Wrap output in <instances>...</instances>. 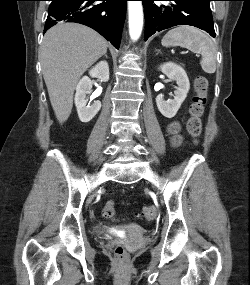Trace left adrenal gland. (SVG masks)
Returning a JSON list of instances; mask_svg holds the SVG:
<instances>
[{
  "label": "left adrenal gland",
  "mask_w": 250,
  "mask_h": 285,
  "mask_svg": "<svg viewBox=\"0 0 250 285\" xmlns=\"http://www.w3.org/2000/svg\"><path fill=\"white\" fill-rule=\"evenodd\" d=\"M157 51V53H160L161 51L160 50H156Z\"/></svg>",
  "instance_id": "left-adrenal-gland-1"
}]
</instances>
